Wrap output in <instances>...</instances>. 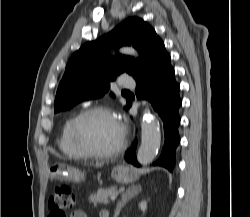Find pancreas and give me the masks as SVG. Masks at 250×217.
<instances>
[{
    "instance_id": "cf45deb5",
    "label": "pancreas",
    "mask_w": 250,
    "mask_h": 217,
    "mask_svg": "<svg viewBox=\"0 0 250 217\" xmlns=\"http://www.w3.org/2000/svg\"><path fill=\"white\" fill-rule=\"evenodd\" d=\"M118 190L116 186H111L110 188L106 189H99L96 193L92 194L89 197V202L93 204H108L109 197L113 194H117Z\"/></svg>"
}]
</instances>
